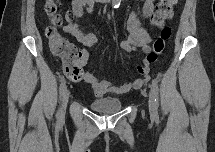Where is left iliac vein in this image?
I'll use <instances>...</instances> for the list:
<instances>
[{
    "label": "left iliac vein",
    "instance_id": "1",
    "mask_svg": "<svg viewBox=\"0 0 215 152\" xmlns=\"http://www.w3.org/2000/svg\"><path fill=\"white\" fill-rule=\"evenodd\" d=\"M148 107L150 116L154 118L156 116L155 97L152 91L149 93Z\"/></svg>",
    "mask_w": 215,
    "mask_h": 152
}]
</instances>
